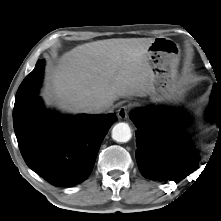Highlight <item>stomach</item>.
Instances as JSON below:
<instances>
[{
    "mask_svg": "<svg viewBox=\"0 0 221 221\" xmlns=\"http://www.w3.org/2000/svg\"><path fill=\"white\" fill-rule=\"evenodd\" d=\"M178 43L167 37H158L147 49L146 57L152 68L153 78L148 95L154 102L177 103L184 91L178 76L180 60Z\"/></svg>",
    "mask_w": 221,
    "mask_h": 221,
    "instance_id": "1",
    "label": "stomach"
}]
</instances>
